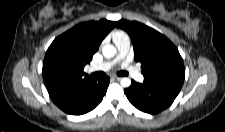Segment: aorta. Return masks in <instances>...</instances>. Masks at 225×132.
Wrapping results in <instances>:
<instances>
[{
  "instance_id": "aorta-1",
  "label": "aorta",
  "mask_w": 225,
  "mask_h": 132,
  "mask_svg": "<svg viewBox=\"0 0 225 132\" xmlns=\"http://www.w3.org/2000/svg\"><path fill=\"white\" fill-rule=\"evenodd\" d=\"M102 53L105 58H112L116 55L117 50L113 45L106 44L102 48ZM120 84L122 87L127 88L131 85V80L128 77H123L120 80Z\"/></svg>"
}]
</instances>
